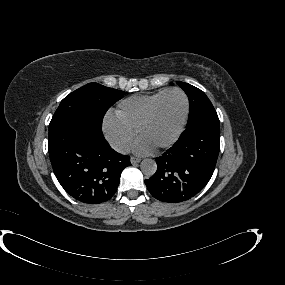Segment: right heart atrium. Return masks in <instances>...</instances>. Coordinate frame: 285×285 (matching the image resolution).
I'll return each instance as SVG.
<instances>
[{
  "instance_id": "d8ad5b80",
  "label": "right heart atrium",
  "mask_w": 285,
  "mask_h": 285,
  "mask_svg": "<svg viewBox=\"0 0 285 285\" xmlns=\"http://www.w3.org/2000/svg\"><path fill=\"white\" fill-rule=\"evenodd\" d=\"M102 131L111 146L122 153L129 151L135 139V133L111 114L104 117Z\"/></svg>"
}]
</instances>
